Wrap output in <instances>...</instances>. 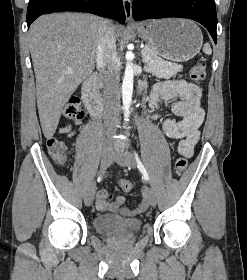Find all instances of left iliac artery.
<instances>
[{
  "mask_svg": "<svg viewBox=\"0 0 247 280\" xmlns=\"http://www.w3.org/2000/svg\"><path fill=\"white\" fill-rule=\"evenodd\" d=\"M134 156H135V160L137 163V167L140 170V172L143 174L144 179H146L147 181H149V175L144 167V165L142 164V162L139 159L138 154L136 153V151H134Z\"/></svg>",
  "mask_w": 247,
  "mask_h": 280,
  "instance_id": "44dca946",
  "label": "left iliac artery"
}]
</instances>
